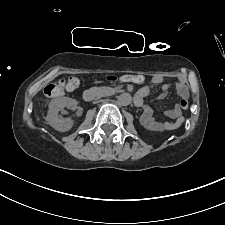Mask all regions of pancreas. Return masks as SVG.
I'll return each instance as SVG.
<instances>
[{
    "instance_id": "cf45deb5",
    "label": "pancreas",
    "mask_w": 225,
    "mask_h": 225,
    "mask_svg": "<svg viewBox=\"0 0 225 225\" xmlns=\"http://www.w3.org/2000/svg\"><path fill=\"white\" fill-rule=\"evenodd\" d=\"M100 90H101V92H102L104 95H109V94H111L115 89L110 88V87H102Z\"/></svg>"
}]
</instances>
